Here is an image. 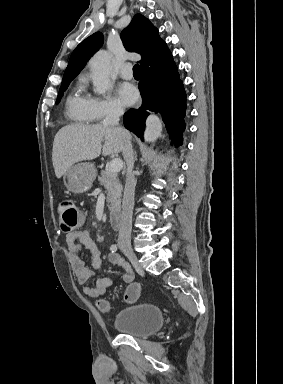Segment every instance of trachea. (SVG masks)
I'll use <instances>...</instances> for the list:
<instances>
[{
	"mask_svg": "<svg viewBox=\"0 0 283 384\" xmlns=\"http://www.w3.org/2000/svg\"><path fill=\"white\" fill-rule=\"evenodd\" d=\"M133 73H134V74H139V65H138V63H136V64L134 65V67H133Z\"/></svg>",
	"mask_w": 283,
	"mask_h": 384,
	"instance_id": "obj_1",
	"label": "trachea"
}]
</instances>
